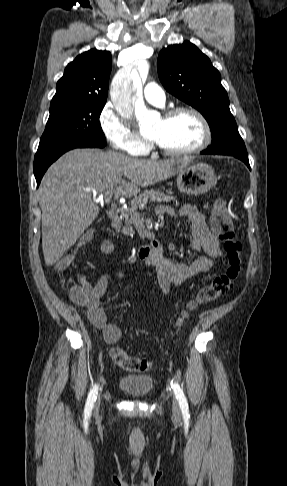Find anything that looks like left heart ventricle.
Instances as JSON below:
<instances>
[{"mask_svg":"<svg viewBox=\"0 0 287 486\" xmlns=\"http://www.w3.org/2000/svg\"><path fill=\"white\" fill-rule=\"evenodd\" d=\"M151 140L170 150H184L196 146L202 138V128L191 114L183 113L172 119H159L149 135Z\"/></svg>","mask_w":287,"mask_h":486,"instance_id":"left-heart-ventricle-1","label":"left heart ventricle"}]
</instances>
